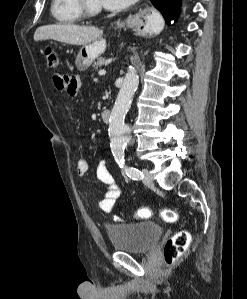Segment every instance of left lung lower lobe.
<instances>
[{
  "label": "left lung lower lobe",
  "mask_w": 247,
  "mask_h": 299,
  "mask_svg": "<svg viewBox=\"0 0 247 299\" xmlns=\"http://www.w3.org/2000/svg\"><path fill=\"white\" fill-rule=\"evenodd\" d=\"M151 3L161 12L167 23L179 15L180 0H151Z\"/></svg>",
  "instance_id": "1"
}]
</instances>
